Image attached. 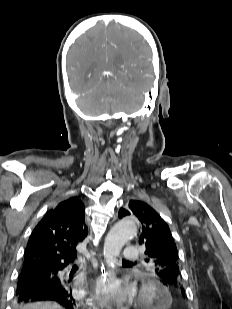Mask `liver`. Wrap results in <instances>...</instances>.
<instances>
[{"instance_id":"liver-1","label":"liver","mask_w":232,"mask_h":309,"mask_svg":"<svg viewBox=\"0 0 232 309\" xmlns=\"http://www.w3.org/2000/svg\"><path fill=\"white\" fill-rule=\"evenodd\" d=\"M21 309H63V308L54 302H37L27 304L23 306Z\"/></svg>"}]
</instances>
